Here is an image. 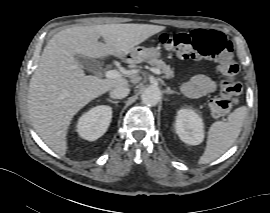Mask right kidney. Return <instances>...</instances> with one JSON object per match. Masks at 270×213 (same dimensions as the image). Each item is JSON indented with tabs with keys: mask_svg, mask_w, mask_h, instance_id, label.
<instances>
[{
	"mask_svg": "<svg viewBox=\"0 0 270 213\" xmlns=\"http://www.w3.org/2000/svg\"><path fill=\"white\" fill-rule=\"evenodd\" d=\"M111 119L112 108L110 106H96L80 117L77 132L86 140H97L107 131Z\"/></svg>",
	"mask_w": 270,
	"mask_h": 213,
	"instance_id": "1",
	"label": "right kidney"
}]
</instances>
